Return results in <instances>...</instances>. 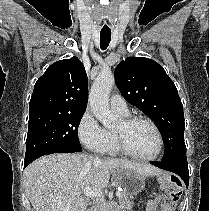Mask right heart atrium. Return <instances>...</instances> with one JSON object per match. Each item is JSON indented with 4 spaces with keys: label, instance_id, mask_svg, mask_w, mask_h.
Returning a JSON list of instances; mask_svg holds the SVG:
<instances>
[{
    "label": "right heart atrium",
    "instance_id": "d8ad5b80",
    "mask_svg": "<svg viewBox=\"0 0 209 211\" xmlns=\"http://www.w3.org/2000/svg\"><path fill=\"white\" fill-rule=\"evenodd\" d=\"M80 142L92 151H100L107 140V130L98 122L90 110H86L78 123Z\"/></svg>",
    "mask_w": 209,
    "mask_h": 211
}]
</instances>
